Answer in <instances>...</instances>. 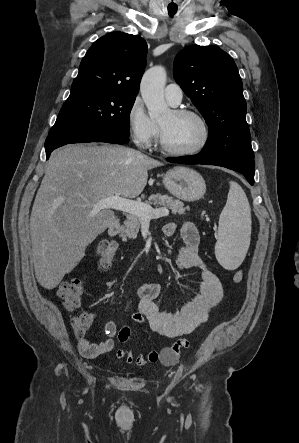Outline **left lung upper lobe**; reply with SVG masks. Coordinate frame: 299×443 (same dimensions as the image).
Masks as SVG:
<instances>
[{"mask_svg":"<svg viewBox=\"0 0 299 443\" xmlns=\"http://www.w3.org/2000/svg\"><path fill=\"white\" fill-rule=\"evenodd\" d=\"M173 74L209 127L200 154L220 161L254 159L243 84L232 57L217 46L191 45L177 54Z\"/></svg>","mask_w":299,"mask_h":443,"instance_id":"left-lung-upper-lobe-1","label":"left lung upper lobe"}]
</instances>
